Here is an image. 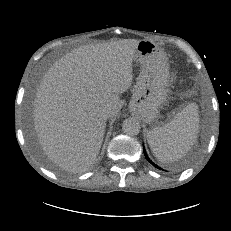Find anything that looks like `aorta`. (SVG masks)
<instances>
[{
  "label": "aorta",
  "instance_id": "762f6f07",
  "mask_svg": "<svg viewBox=\"0 0 231 231\" xmlns=\"http://www.w3.org/2000/svg\"><path fill=\"white\" fill-rule=\"evenodd\" d=\"M122 129L125 134L135 136L140 132L141 126L138 120L128 118L123 121Z\"/></svg>",
  "mask_w": 231,
  "mask_h": 231
}]
</instances>
